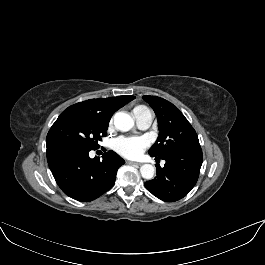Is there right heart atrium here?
<instances>
[{"label":"right heart atrium","instance_id":"right-heart-atrium-1","mask_svg":"<svg viewBox=\"0 0 265 265\" xmlns=\"http://www.w3.org/2000/svg\"><path fill=\"white\" fill-rule=\"evenodd\" d=\"M112 123H113V119L110 120V122H109V126H111Z\"/></svg>","mask_w":265,"mask_h":265}]
</instances>
